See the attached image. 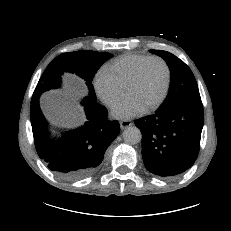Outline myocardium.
<instances>
[{"mask_svg":"<svg viewBox=\"0 0 231 231\" xmlns=\"http://www.w3.org/2000/svg\"><path fill=\"white\" fill-rule=\"evenodd\" d=\"M151 61H159L163 64L165 71H166V80H165L164 88L162 90L160 97L157 99V101L155 103H153L152 105H150L149 107H147L145 109L146 112H151V111L158 109L161 106V104L164 102V100L168 94L170 82H171V71H170V67H169L168 63L163 58H161L159 56L149 57L148 59L143 61L137 67L135 73L133 74L132 78L130 79V81H129L126 89H125L126 94H127V92L139 81L145 66Z\"/></svg>","mask_w":231,"mask_h":231,"instance_id":"f54148a6","label":"myocardium"}]
</instances>
